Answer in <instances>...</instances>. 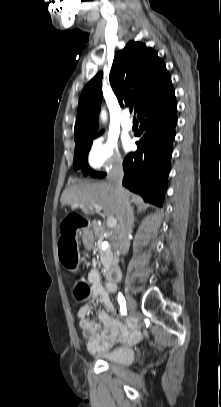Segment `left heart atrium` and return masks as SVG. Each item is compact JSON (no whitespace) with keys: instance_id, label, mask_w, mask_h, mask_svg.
Returning a JSON list of instances; mask_svg holds the SVG:
<instances>
[{"instance_id":"39dd6f15","label":"left heart atrium","mask_w":221,"mask_h":407,"mask_svg":"<svg viewBox=\"0 0 221 407\" xmlns=\"http://www.w3.org/2000/svg\"><path fill=\"white\" fill-rule=\"evenodd\" d=\"M126 147L129 148L130 147V143L126 142Z\"/></svg>"}]
</instances>
